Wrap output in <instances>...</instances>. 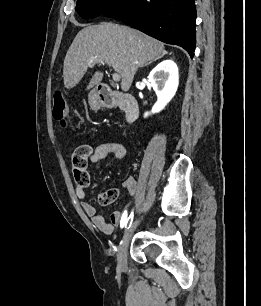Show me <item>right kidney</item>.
Here are the masks:
<instances>
[{"label":"right kidney","instance_id":"obj_1","mask_svg":"<svg viewBox=\"0 0 261 306\" xmlns=\"http://www.w3.org/2000/svg\"><path fill=\"white\" fill-rule=\"evenodd\" d=\"M148 79L157 95V102L151 112L158 113L170 102L177 91L178 67L174 61L165 60L150 72ZM147 115L148 113H145V116Z\"/></svg>","mask_w":261,"mask_h":306}]
</instances>
